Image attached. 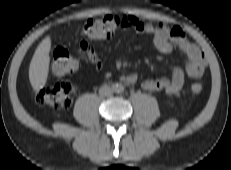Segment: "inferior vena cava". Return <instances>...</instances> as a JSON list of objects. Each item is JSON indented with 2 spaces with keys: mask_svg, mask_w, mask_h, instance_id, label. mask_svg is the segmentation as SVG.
Here are the masks:
<instances>
[{
  "mask_svg": "<svg viewBox=\"0 0 231 170\" xmlns=\"http://www.w3.org/2000/svg\"><path fill=\"white\" fill-rule=\"evenodd\" d=\"M113 93V90L109 87V86H102L100 89H99V94L101 96H111Z\"/></svg>",
  "mask_w": 231,
  "mask_h": 170,
  "instance_id": "inferior-vena-cava-1",
  "label": "inferior vena cava"
}]
</instances>
